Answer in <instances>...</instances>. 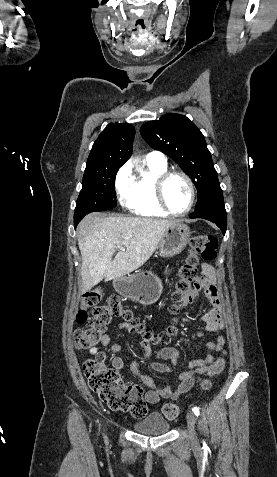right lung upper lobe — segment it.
<instances>
[{
  "mask_svg": "<svg viewBox=\"0 0 277 477\" xmlns=\"http://www.w3.org/2000/svg\"><path fill=\"white\" fill-rule=\"evenodd\" d=\"M134 135L131 124H108L93 144L84 173L121 167L132 154Z\"/></svg>",
  "mask_w": 277,
  "mask_h": 477,
  "instance_id": "1",
  "label": "right lung upper lobe"
}]
</instances>
